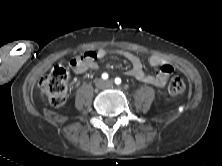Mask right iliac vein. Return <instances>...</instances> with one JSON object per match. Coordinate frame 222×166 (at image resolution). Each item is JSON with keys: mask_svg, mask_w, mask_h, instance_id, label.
I'll use <instances>...</instances> for the list:
<instances>
[{"mask_svg": "<svg viewBox=\"0 0 222 166\" xmlns=\"http://www.w3.org/2000/svg\"><path fill=\"white\" fill-rule=\"evenodd\" d=\"M96 86L99 87V88H102L104 86V82L102 79H98L96 81Z\"/></svg>", "mask_w": 222, "mask_h": 166, "instance_id": "63e3f726", "label": "right iliac vein"}]
</instances>
